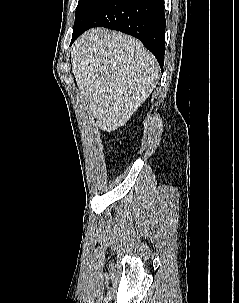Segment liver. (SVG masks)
I'll list each match as a JSON object with an SVG mask.
<instances>
[{
	"mask_svg": "<svg viewBox=\"0 0 239 303\" xmlns=\"http://www.w3.org/2000/svg\"><path fill=\"white\" fill-rule=\"evenodd\" d=\"M71 61L78 91L107 132L126 124L159 79L157 61L140 41L104 28L81 35Z\"/></svg>",
	"mask_w": 239,
	"mask_h": 303,
	"instance_id": "1",
	"label": "liver"
}]
</instances>
